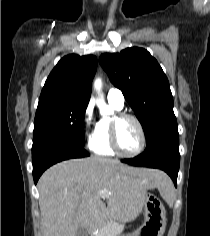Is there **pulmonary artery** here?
Wrapping results in <instances>:
<instances>
[{"instance_id": "e3ab8cb5", "label": "pulmonary artery", "mask_w": 210, "mask_h": 236, "mask_svg": "<svg viewBox=\"0 0 210 236\" xmlns=\"http://www.w3.org/2000/svg\"><path fill=\"white\" fill-rule=\"evenodd\" d=\"M107 99L109 103L114 104L118 108H122L125 103V97L121 90L117 88H111L107 93Z\"/></svg>"}]
</instances>
